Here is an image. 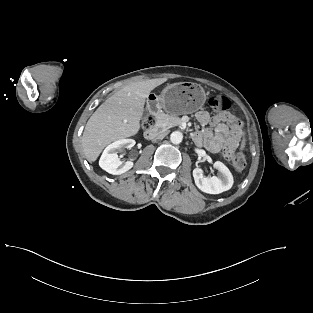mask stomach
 Listing matches in <instances>:
<instances>
[{"instance_id": "stomach-1", "label": "stomach", "mask_w": 313, "mask_h": 313, "mask_svg": "<svg viewBox=\"0 0 313 313\" xmlns=\"http://www.w3.org/2000/svg\"><path fill=\"white\" fill-rule=\"evenodd\" d=\"M206 101L204 89L190 82L168 85L159 96L149 99L157 110L173 115L189 114L199 110Z\"/></svg>"}]
</instances>
